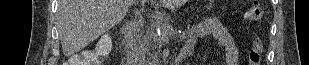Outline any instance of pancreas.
<instances>
[{
    "instance_id": "1",
    "label": "pancreas",
    "mask_w": 309,
    "mask_h": 65,
    "mask_svg": "<svg viewBox=\"0 0 309 65\" xmlns=\"http://www.w3.org/2000/svg\"><path fill=\"white\" fill-rule=\"evenodd\" d=\"M157 27L161 31L169 29V21L166 19L153 20L147 26V30L141 35L137 36L136 45L134 47V54L145 61H153L156 55L161 50L162 39L157 34Z\"/></svg>"
}]
</instances>
